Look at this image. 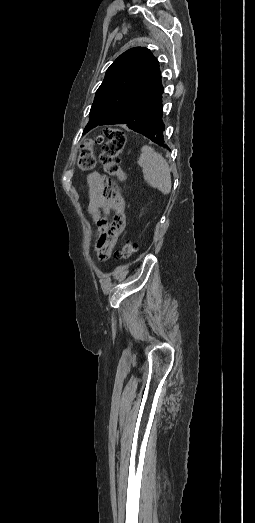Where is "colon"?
Returning <instances> with one entry per match:
<instances>
[{
	"instance_id": "colon-1",
	"label": "colon",
	"mask_w": 255,
	"mask_h": 523,
	"mask_svg": "<svg viewBox=\"0 0 255 523\" xmlns=\"http://www.w3.org/2000/svg\"><path fill=\"white\" fill-rule=\"evenodd\" d=\"M105 136L107 141L102 147L100 162L107 174L124 181L126 174L121 167L120 154L125 146L126 138L124 132L119 128H112L107 130L105 135H97L94 138L86 139L80 146L78 167L81 171H90L95 167L94 145L102 143ZM136 250V245L130 240H126L121 250L117 253V257L124 260L129 259Z\"/></svg>"
}]
</instances>
